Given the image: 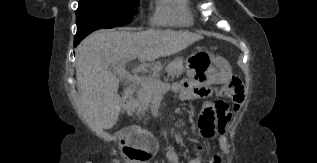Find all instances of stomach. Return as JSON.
Wrapping results in <instances>:
<instances>
[{
    "mask_svg": "<svg viewBox=\"0 0 317 163\" xmlns=\"http://www.w3.org/2000/svg\"><path fill=\"white\" fill-rule=\"evenodd\" d=\"M188 74L197 80L205 79L208 83H224L231 75L229 63L222 57L207 52L203 62V72L197 73L199 68L187 66Z\"/></svg>",
    "mask_w": 317,
    "mask_h": 163,
    "instance_id": "1",
    "label": "stomach"
}]
</instances>
